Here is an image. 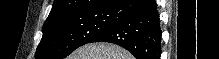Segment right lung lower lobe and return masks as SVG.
<instances>
[{"instance_id": "98d812e1", "label": "right lung lower lobe", "mask_w": 219, "mask_h": 59, "mask_svg": "<svg viewBox=\"0 0 219 59\" xmlns=\"http://www.w3.org/2000/svg\"><path fill=\"white\" fill-rule=\"evenodd\" d=\"M118 21L92 42L117 44L137 59H160L161 28L154 0H122L115 5Z\"/></svg>"}]
</instances>
